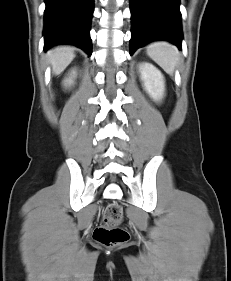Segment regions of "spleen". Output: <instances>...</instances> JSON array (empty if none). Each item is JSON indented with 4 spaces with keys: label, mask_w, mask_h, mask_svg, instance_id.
Here are the masks:
<instances>
[{
    "label": "spleen",
    "mask_w": 231,
    "mask_h": 281,
    "mask_svg": "<svg viewBox=\"0 0 231 281\" xmlns=\"http://www.w3.org/2000/svg\"><path fill=\"white\" fill-rule=\"evenodd\" d=\"M147 55L160 65L164 71L172 75L179 64L178 49L167 42H154L146 47Z\"/></svg>",
    "instance_id": "obj_1"
}]
</instances>
